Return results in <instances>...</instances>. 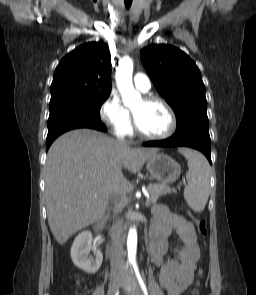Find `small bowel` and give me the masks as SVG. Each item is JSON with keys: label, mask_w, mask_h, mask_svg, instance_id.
Masks as SVG:
<instances>
[{"label": "small bowel", "mask_w": 256, "mask_h": 295, "mask_svg": "<svg viewBox=\"0 0 256 295\" xmlns=\"http://www.w3.org/2000/svg\"><path fill=\"white\" fill-rule=\"evenodd\" d=\"M174 229L183 242L175 250L176 258L162 263L167 251L169 236ZM149 253L156 267V277L167 295H181L190 285L195 262L199 254L195 229L189 221L164 205L154 209Z\"/></svg>", "instance_id": "small-bowel-1"}]
</instances>
